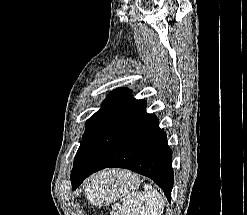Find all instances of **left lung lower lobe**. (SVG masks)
I'll list each match as a JSON object with an SVG mask.
<instances>
[{
    "instance_id": "left-lung-lower-lobe-1",
    "label": "left lung lower lobe",
    "mask_w": 247,
    "mask_h": 215,
    "mask_svg": "<svg viewBox=\"0 0 247 215\" xmlns=\"http://www.w3.org/2000/svg\"><path fill=\"white\" fill-rule=\"evenodd\" d=\"M145 109V100H136L107 131L81 144L71 172L73 190L92 173L119 167L151 178L171 200L172 150L157 117Z\"/></svg>"
}]
</instances>
